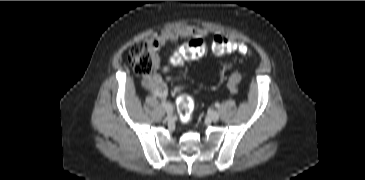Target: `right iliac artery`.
Instances as JSON below:
<instances>
[{
	"label": "right iliac artery",
	"mask_w": 365,
	"mask_h": 180,
	"mask_svg": "<svg viewBox=\"0 0 365 180\" xmlns=\"http://www.w3.org/2000/svg\"><path fill=\"white\" fill-rule=\"evenodd\" d=\"M161 104H162L163 106H166V105H167L166 101H162V102H161Z\"/></svg>",
	"instance_id": "82829eb1"
}]
</instances>
